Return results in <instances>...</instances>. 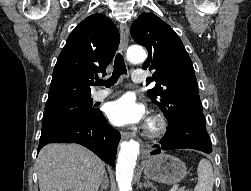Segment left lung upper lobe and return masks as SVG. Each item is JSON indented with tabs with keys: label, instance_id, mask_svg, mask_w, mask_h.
I'll return each mask as SVG.
<instances>
[{
	"label": "left lung upper lobe",
	"instance_id": "5c2ea615",
	"mask_svg": "<svg viewBox=\"0 0 251 191\" xmlns=\"http://www.w3.org/2000/svg\"><path fill=\"white\" fill-rule=\"evenodd\" d=\"M134 40L146 47L142 68L153 70L146 85L156 81L147 94L168 120V128L196 117L205 121L192 61L178 35L153 13L141 14L131 26Z\"/></svg>",
	"mask_w": 251,
	"mask_h": 191
}]
</instances>
